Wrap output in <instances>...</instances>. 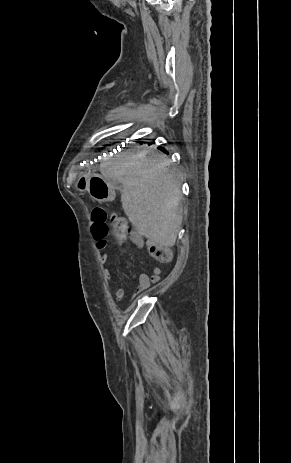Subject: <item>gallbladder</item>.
I'll return each mask as SVG.
<instances>
[{
	"label": "gallbladder",
	"mask_w": 291,
	"mask_h": 463,
	"mask_svg": "<svg viewBox=\"0 0 291 463\" xmlns=\"http://www.w3.org/2000/svg\"><path fill=\"white\" fill-rule=\"evenodd\" d=\"M117 187H118V189H122V185H121V184H118Z\"/></svg>",
	"instance_id": "bac80fb5"
}]
</instances>
